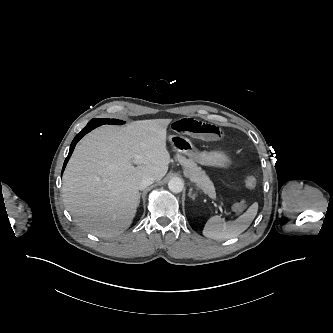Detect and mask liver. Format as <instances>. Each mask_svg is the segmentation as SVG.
<instances>
[{
    "instance_id": "1",
    "label": "liver",
    "mask_w": 333,
    "mask_h": 333,
    "mask_svg": "<svg viewBox=\"0 0 333 333\" xmlns=\"http://www.w3.org/2000/svg\"><path fill=\"white\" fill-rule=\"evenodd\" d=\"M171 119L102 126L76 146L63 175V201L79 227L98 237L127 230L139 205V182L168 171ZM136 165V166H134Z\"/></svg>"
}]
</instances>
